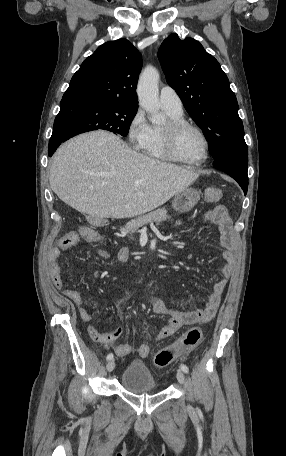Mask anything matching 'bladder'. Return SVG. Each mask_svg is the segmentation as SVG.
<instances>
[{"instance_id":"1","label":"bladder","mask_w":286,"mask_h":456,"mask_svg":"<svg viewBox=\"0 0 286 456\" xmlns=\"http://www.w3.org/2000/svg\"><path fill=\"white\" fill-rule=\"evenodd\" d=\"M121 385L134 393H153L157 391L156 381L149 369L139 362H132L121 375Z\"/></svg>"}]
</instances>
